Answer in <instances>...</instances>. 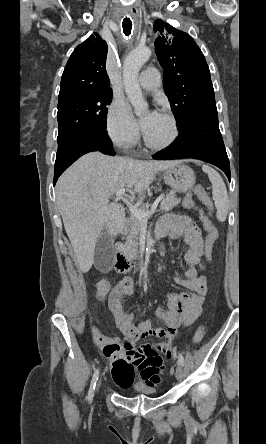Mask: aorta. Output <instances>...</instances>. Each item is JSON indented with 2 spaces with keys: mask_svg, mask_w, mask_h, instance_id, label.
<instances>
[{
  "mask_svg": "<svg viewBox=\"0 0 266 444\" xmlns=\"http://www.w3.org/2000/svg\"><path fill=\"white\" fill-rule=\"evenodd\" d=\"M150 56V48L138 47L128 54L123 64L125 92L137 116L144 114L148 109V104L142 95L137 78L141 67Z\"/></svg>",
  "mask_w": 266,
  "mask_h": 444,
  "instance_id": "762f6f07",
  "label": "aorta"
}]
</instances>
